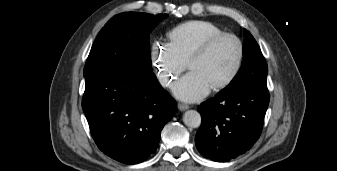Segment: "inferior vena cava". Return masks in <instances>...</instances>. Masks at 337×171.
<instances>
[{
  "mask_svg": "<svg viewBox=\"0 0 337 171\" xmlns=\"http://www.w3.org/2000/svg\"><path fill=\"white\" fill-rule=\"evenodd\" d=\"M167 81H168L167 77L160 78V83H161L162 86H166L167 85Z\"/></svg>",
  "mask_w": 337,
  "mask_h": 171,
  "instance_id": "inferior-vena-cava-1",
  "label": "inferior vena cava"
}]
</instances>
